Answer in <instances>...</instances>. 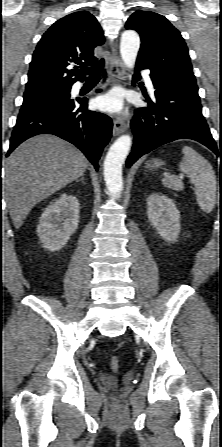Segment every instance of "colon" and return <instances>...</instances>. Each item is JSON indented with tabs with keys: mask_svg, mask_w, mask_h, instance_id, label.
<instances>
[{
	"mask_svg": "<svg viewBox=\"0 0 222 447\" xmlns=\"http://www.w3.org/2000/svg\"><path fill=\"white\" fill-rule=\"evenodd\" d=\"M110 365L113 370H117L119 368V358L117 356H112L110 359Z\"/></svg>",
	"mask_w": 222,
	"mask_h": 447,
	"instance_id": "5ec220e1",
	"label": "colon"
}]
</instances>
